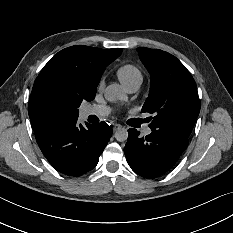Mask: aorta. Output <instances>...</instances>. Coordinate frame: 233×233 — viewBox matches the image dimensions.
Segmentation results:
<instances>
[{
    "mask_svg": "<svg viewBox=\"0 0 233 233\" xmlns=\"http://www.w3.org/2000/svg\"><path fill=\"white\" fill-rule=\"evenodd\" d=\"M126 91L118 83H111L108 85L104 92V97L107 101L117 102L125 98ZM115 138L117 141L124 142L128 138V131L126 128H121L115 131Z\"/></svg>",
    "mask_w": 233,
    "mask_h": 233,
    "instance_id": "762f6f07",
    "label": "aorta"
}]
</instances>
